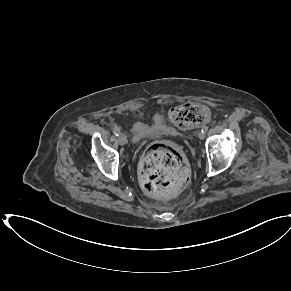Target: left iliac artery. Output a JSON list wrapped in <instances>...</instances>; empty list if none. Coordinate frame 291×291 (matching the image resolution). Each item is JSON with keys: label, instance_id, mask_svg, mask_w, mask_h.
I'll use <instances>...</instances> for the list:
<instances>
[{"label": "left iliac artery", "instance_id": "1", "mask_svg": "<svg viewBox=\"0 0 291 291\" xmlns=\"http://www.w3.org/2000/svg\"><path fill=\"white\" fill-rule=\"evenodd\" d=\"M201 131L203 132V133H206L207 131H208V126H203L202 127V129H201Z\"/></svg>", "mask_w": 291, "mask_h": 291}]
</instances>
